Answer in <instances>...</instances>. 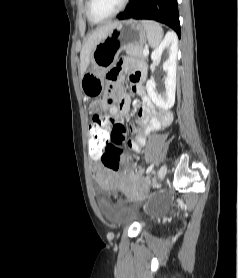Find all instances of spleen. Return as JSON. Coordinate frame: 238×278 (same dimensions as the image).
<instances>
[{"label": "spleen", "instance_id": "obj_1", "mask_svg": "<svg viewBox=\"0 0 238 278\" xmlns=\"http://www.w3.org/2000/svg\"><path fill=\"white\" fill-rule=\"evenodd\" d=\"M142 24L148 32V43L151 47H157L162 40L163 30L161 26L154 21H142Z\"/></svg>", "mask_w": 238, "mask_h": 278}]
</instances>
